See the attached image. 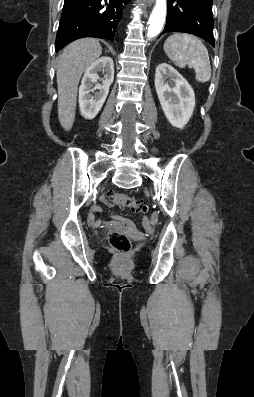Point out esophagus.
I'll return each mask as SVG.
<instances>
[{"mask_svg": "<svg viewBox=\"0 0 254 397\" xmlns=\"http://www.w3.org/2000/svg\"><path fill=\"white\" fill-rule=\"evenodd\" d=\"M148 6H151L154 3V0H145Z\"/></svg>", "mask_w": 254, "mask_h": 397, "instance_id": "esophagus-1", "label": "esophagus"}]
</instances>
